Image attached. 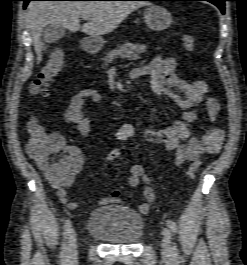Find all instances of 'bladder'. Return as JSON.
<instances>
[{
	"label": "bladder",
	"instance_id": "bladder-1",
	"mask_svg": "<svg viewBox=\"0 0 247 265\" xmlns=\"http://www.w3.org/2000/svg\"><path fill=\"white\" fill-rule=\"evenodd\" d=\"M87 233L111 244L131 245L142 238L144 222L135 210L110 204L91 211L87 221Z\"/></svg>",
	"mask_w": 247,
	"mask_h": 265
}]
</instances>
